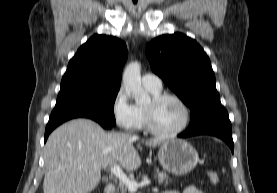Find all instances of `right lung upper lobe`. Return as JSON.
<instances>
[{
  "instance_id": "cb5924a9",
  "label": "right lung upper lobe",
  "mask_w": 277,
  "mask_h": 193,
  "mask_svg": "<svg viewBox=\"0 0 277 193\" xmlns=\"http://www.w3.org/2000/svg\"><path fill=\"white\" fill-rule=\"evenodd\" d=\"M127 47L113 36L93 35L70 60L60 90L75 87L119 89Z\"/></svg>"
}]
</instances>
